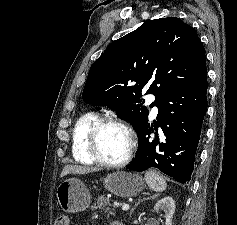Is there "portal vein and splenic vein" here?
<instances>
[{
    "instance_id": "obj_1",
    "label": "portal vein and splenic vein",
    "mask_w": 237,
    "mask_h": 225,
    "mask_svg": "<svg viewBox=\"0 0 237 225\" xmlns=\"http://www.w3.org/2000/svg\"><path fill=\"white\" fill-rule=\"evenodd\" d=\"M116 206H117V204L114 205V207H116ZM121 208H122L123 211H127V210H129V205L128 204H124Z\"/></svg>"
}]
</instances>
